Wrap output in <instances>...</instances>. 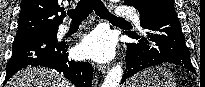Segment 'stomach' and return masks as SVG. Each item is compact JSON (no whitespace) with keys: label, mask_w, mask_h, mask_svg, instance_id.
Listing matches in <instances>:
<instances>
[{"label":"stomach","mask_w":205,"mask_h":87,"mask_svg":"<svg viewBox=\"0 0 205 87\" xmlns=\"http://www.w3.org/2000/svg\"><path fill=\"white\" fill-rule=\"evenodd\" d=\"M175 75L164 66H155L145 69L126 84V87H176Z\"/></svg>","instance_id":"stomach-1"}]
</instances>
